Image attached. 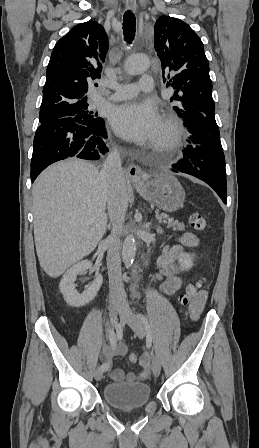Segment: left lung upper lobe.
<instances>
[{
	"instance_id": "left-lung-upper-lobe-1",
	"label": "left lung upper lobe",
	"mask_w": 259,
	"mask_h": 448,
	"mask_svg": "<svg viewBox=\"0 0 259 448\" xmlns=\"http://www.w3.org/2000/svg\"><path fill=\"white\" fill-rule=\"evenodd\" d=\"M154 47L161 61L166 87L176 91L170 101L178 116L187 111L210 113L214 116L212 82L204 45L188 24L180 19L161 16L154 26Z\"/></svg>"
}]
</instances>
